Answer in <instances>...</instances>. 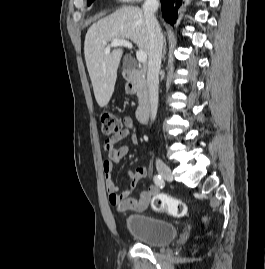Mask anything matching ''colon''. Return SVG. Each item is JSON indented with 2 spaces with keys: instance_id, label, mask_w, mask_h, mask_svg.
I'll use <instances>...</instances> for the list:
<instances>
[{
  "instance_id": "obj_1",
  "label": "colon",
  "mask_w": 265,
  "mask_h": 269,
  "mask_svg": "<svg viewBox=\"0 0 265 269\" xmlns=\"http://www.w3.org/2000/svg\"><path fill=\"white\" fill-rule=\"evenodd\" d=\"M100 119L102 133L107 139L114 138L121 134L123 124L114 113L104 111L101 113ZM152 206L155 211L166 212L177 217L185 216L187 213V206L183 201L166 194L156 195L153 198Z\"/></svg>"
}]
</instances>
